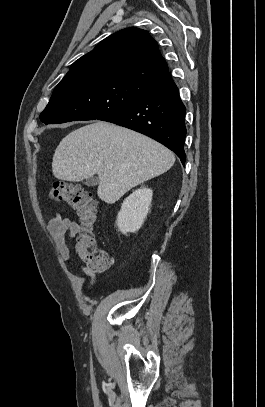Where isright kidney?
Wrapping results in <instances>:
<instances>
[{"label": "right kidney", "mask_w": 265, "mask_h": 407, "mask_svg": "<svg viewBox=\"0 0 265 407\" xmlns=\"http://www.w3.org/2000/svg\"><path fill=\"white\" fill-rule=\"evenodd\" d=\"M152 195L151 189L141 188L124 200L116 220L120 232L126 235L141 228L149 212Z\"/></svg>", "instance_id": "1"}]
</instances>
